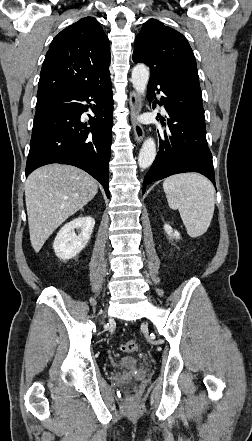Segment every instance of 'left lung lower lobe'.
Returning <instances> with one entry per match:
<instances>
[{"mask_svg":"<svg viewBox=\"0 0 252 441\" xmlns=\"http://www.w3.org/2000/svg\"><path fill=\"white\" fill-rule=\"evenodd\" d=\"M155 90L163 93L160 105L167 111L169 129L159 135V151L144 178L142 193L148 184L183 172H199L215 185L201 93L179 78L149 79L150 100Z\"/></svg>","mask_w":252,"mask_h":441,"instance_id":"obj_1","label":"left lung lower lobe"}]
</instances>
